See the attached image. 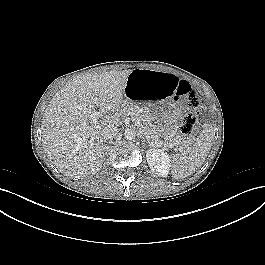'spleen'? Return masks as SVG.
Instances as JSON below:
<instances>
[{"label":"spleen","mask_w":265,"mask_h":265,"mask_svg":"<svg viewBox=\"0 0 265 265\" xmlns=\"http://www.w3.org/2000/svg\"><path fill=\"white\" fill-rule=\"evenodd\" d=\"M213 132L204 129L197 141L183 156L174 155L171 162L173 178L182 179L194 173L205 161L212 146Z\"/></svg>","instance_id":"3e777b00"}]
</instances>
